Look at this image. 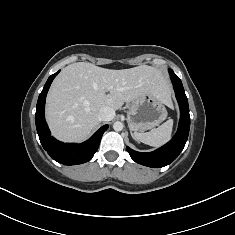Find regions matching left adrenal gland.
Here are the masks:
<instances>
[{"label": "left adrenal gland", "instance_id": "left-adrenal-gland-1", "mask_svg": "<svg viewBox=\"0 0 235 235\" xmlns=\"http://www.w3.org/2000/svg\"><path fill=\"white\" fill-rule=\"evenodd\" d=\"M130 134H131L132 138L135 139V138H134V135H133V133H132L131 131H130Z\"/></svg>", "mask_w": 235, "mask_h": 235}]
</instances>
